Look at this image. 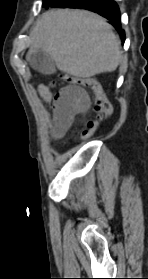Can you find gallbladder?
Instances as JSON below:
<instances>
[{"label": "gallbladder", "mask_w": 148, "mask_h": 279, "mask_svg": "<svg viewBox=\"0 0 148 279\" xmlns=\"http://www.w3.org/2000/svg\"><path fill=\"white\" fill-rule=\"evenodd\" d=\"M27 60L31 67L44 75H51L56 72V65L52 57L44 50L40 49L35 53L28 54Z\"/></svg>", "instance_id": "1"}]
</instances>
